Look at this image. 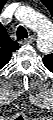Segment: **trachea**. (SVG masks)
<instances>
[{
    "instance_id": "3493384b",
    "label": "trachea",
    "mask_w": 53,
    "mask_h": 120,
    "mask_svg": "<svg viewBox=\"0 0 53 120\" xmlns=\"http://www.w3.org/2000/svg\"><path fill=\"white\" fill-rule=\"evenodd\" d=\"M16 33H17V39L18 40H21V39H24V38L28 37L27 30L23 26H19L17 28Z\"/></svg>"
}]
</instances>
